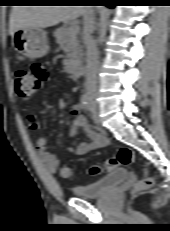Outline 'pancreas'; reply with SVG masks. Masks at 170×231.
<instances>
[{
    "instance_id": "cf45deb5",
    "label": "pancreas",
    "mask_w": 170,
    "mask_h": 231,
    "mask_svg": "<svg viewBox=\"0 0 170 231\" xmlns=\"http://www.w3.org/2000/svg\"><path fill=\"white\" fill-rule=\"evenodd\" d=\"M54 37L60 48L65 53L63 65L66 70L72 71L80 64L82 56V46L77 35L69 33V27H61L54 31Z\"/></svg>"
}]
</instances>
